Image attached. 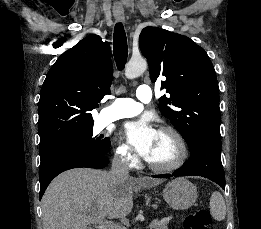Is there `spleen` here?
Segmentation results:
<instances>
[{
  "label": "spleen",
  "instance_id": "3e777b00",
  "mask_svg": "<svg viewBox=\"0 0 261 229\" xmlns=\"http://www.w3.org/2000/svg\"><path fill=\"white\" fill-rule=\"evenodd\" d=\"M210 213L215 221H223L226 217V205L225 201L218 191L212 193L210 199Z\"/></svg>",
  "mask_w": 261,
  "mask_h": 229
}]
</instances>
